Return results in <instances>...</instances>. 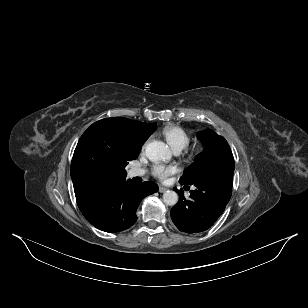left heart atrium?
<instances>
[{"label": "left heart atrium", "mask_w": 308, "mask_h": 308, "mask_svg": "<svg viewBox=\"0 0 308 308\" xmlns=\"http://www.w3.org/2000/svg\"><path fill=\"white\" fill-rule=\"evenodd\" d=\"M179 171L176 165H155L153 167V175L161 181H165L170 175Z\"/></svg>", "instance_id": "obj_1"}]
</instances>
